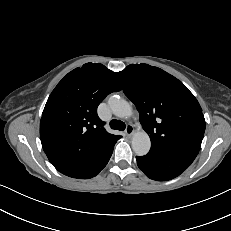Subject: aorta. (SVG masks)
Listing matches in <instances>:
<instances>
[{
	"label": "aorta",
	"instance_id": "762f6f07",
	"mask_svg": "<svg viewBox=\"0 0 231 231\" xmlns=\"http://www.w3.org/2000/svg\"><path fill=\"white\" fill-rule=\"evenodd\" d=\"M112 113L119 117H130L132 115V106L124 99L118 96H111L108 100ZM151 148L149 135L145 131L137 132L132 138V149L138 156L146 155Z\"/></svg>",
	"mask_w": 231,
	"mask_h": 231
}]
</instances>
